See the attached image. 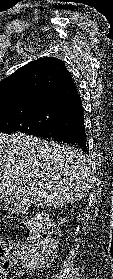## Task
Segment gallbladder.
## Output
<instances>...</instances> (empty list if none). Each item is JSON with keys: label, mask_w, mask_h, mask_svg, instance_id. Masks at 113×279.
<instances>
[{"label": "gallbladder", "mask_w": 113, "mask_h": 279, "mask_svg": "<svg viewBox=\"0 0 113 279\" xmlns=\"http://www.w3.org/2000/svg\"><path fill=\"white\" fill-rule=\"evenodd\" d=\"M5 208L6 210H10V205H8L7 200L0 201V208Z\"/></svg>", "instance_id": "gallbladder-1"}]
</instances>
